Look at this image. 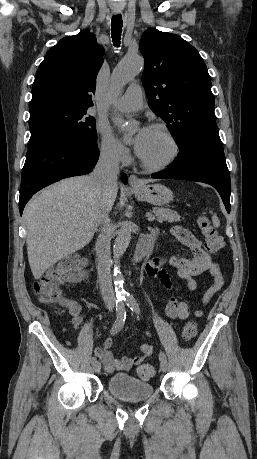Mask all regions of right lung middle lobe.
I'll list each match as a JSON object with an SVG mask.
<instances>
[{"instance_id":"right-lung-middle-lobe-1","label":"right lung middle lobe","mask_w":257,"mask_h":459,"mask_svg":"<svg viewBox=\"0 0 257 459\" xmlns=\"http://www.w3.org/2000/svg\"><path fill=\"white\" fill-rule=\"evenodd\" d=\"M31 136L49 134L88 143L97 142L95 119L87 108L49 106L30 112Z\"/></svg>"}]
</instances>
